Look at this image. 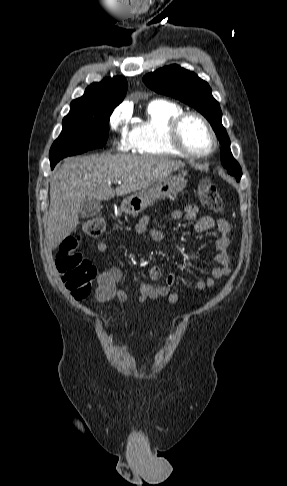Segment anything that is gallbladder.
I'll return each mask as SVG.
<instances>
[{
  "mask_svg": "<svg viewBox=\"0 0 287 486\" xmlns=\"http://www.w3.org/2000/svg\"><path fill=\"white\" fill-rule=\"evenodd\" d=\"M102 209V204L100 200L85 197V199L80 204L79 215L81 218H91L100 213Z\"/></svg>",
  "mask_w": 287,
  "mask_h": 486,
  "instance_id": "1",
  "label": "gallbladder"
}]
</instances>
